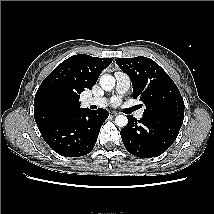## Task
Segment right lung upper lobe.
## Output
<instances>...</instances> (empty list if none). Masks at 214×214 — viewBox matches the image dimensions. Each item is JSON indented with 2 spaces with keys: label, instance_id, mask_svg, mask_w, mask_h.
Segmentation results:
<instances>
[{
  "label": "right lung upper lobe",
  "instance_id": "1",
  "mask_svg": "<svg viewBox=\"0 0 214 214\" xmlns=\"http://www.w3.org/2000/svg\"><path fill=\"white\" fill-rule=\"evenodd\" d=\"M112 58L74 55L60 63L41 83L34 99V118L44 132L65 115L80 108V93L91 89Z\"/></svg>",
  "mask_w": 214,
  "mask_h": 214
}]
</instances>
